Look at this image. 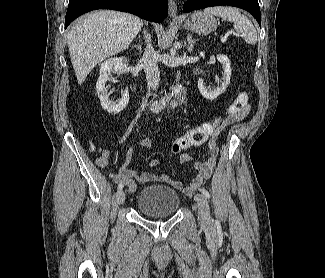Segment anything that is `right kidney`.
<instances>
[{
    "mask_svg": "<svg viewBox=\"0 0 325 278\" xmlns=\"http://www.w3.org/2000/svg\"><path fill=\"white\" fill-rule=\"evenodd\" d=\"M127 66L124 57H114L107 59L101 64L100 67V76L96 83V91L101 103V106L110 114H118L123 109L126 108L129 102V92L128 90L124 91L121 94V98L115 103L109 100V95L105 88L106 82L111 80L113 72L121 73L122 70Z\"/></svg>",
    "mask_w": 325,
    "mask_h": 278,
    "instance_id": "ca27d5eb",
    "label": "right kidney"
}]
</instances>
